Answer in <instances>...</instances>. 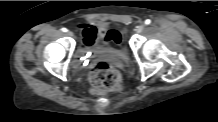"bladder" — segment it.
I'll list each match as a JSON object with an SVG mask.
<instances>
[{
  "label": "bladder",
  "mask_w": 218,
  "mask_h": 122,
  "mask_svg": "<svg viewBox=\"0 0 218 122\" xmlns=\"http://www.w3.org/2000/svg\"><path fill=\"white\" fill-rule=\"evenodd\" d=\"M103 48H110V44L108 40H107V43L103 46Z\"/></svg>",
  "instance_id": "obj_1"
}]
</instances>
